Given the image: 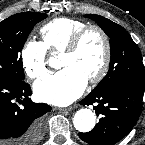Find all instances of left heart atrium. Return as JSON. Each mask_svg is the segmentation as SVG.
<instances>
[{
	"mask_svg": "<svg viewBox=\"0 0 145 145\" xmlns=\"http://www.w3.org/2000/svg\"><path fill=\"white\" fill-rule=\"evenodd\" d=\"M87 82L88 79L79 70L68 66L36 81L34 92L41 101L64 106L82 94Z\"/></svg>",
	"mask_w": 145,
	"mask_h": 145,
	"instance_id": "obj_1",
	"label": "left heart atrium"
}]
</instances>
